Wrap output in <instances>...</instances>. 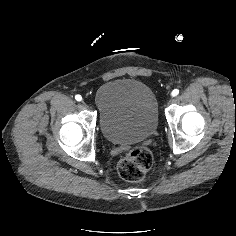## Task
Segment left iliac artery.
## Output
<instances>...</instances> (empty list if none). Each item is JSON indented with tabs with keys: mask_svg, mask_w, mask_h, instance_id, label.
<instances>
[{
	"mask_svg": "<svg viewBox=\"0 0 236 236\" xmlns=\"http://www.w3.org/2000/svg\"><path fill=\"white\" fill-rule=\"evenodd\" d=\"M171 94L174 95V96H177L179 94V90L174 89Z\"/></svg>",
	"mask_w": 236,
	"mask_h": 236,
	"instance_id": "44dca946",
	"label": "left iliac artery"
}]
</instances>
